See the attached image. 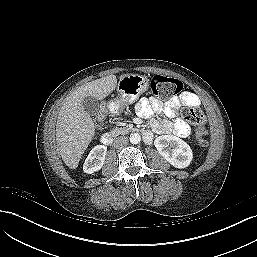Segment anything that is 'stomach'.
Returning <instances> with one entry per match:
<instances>
[{"mask_svg": "<svg viewBox=\"0 0 257 257\" xmlns=\"http://www.w3.org/2000/svg\"><path fill=\"white\" fill-rule=\"evenodd\" d=\"M149 86L146 76L130 74L120 79L117 87L119 100L124 104L133 103Z\"/></svg>", "mask_w": 257, "mask_h": 257, "instance_id": "obj_1", "label": "stomach"}]
</instances>
